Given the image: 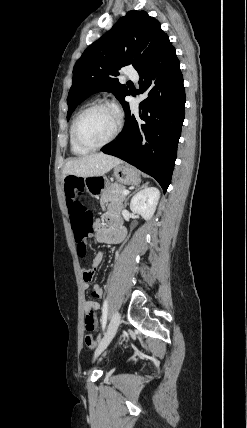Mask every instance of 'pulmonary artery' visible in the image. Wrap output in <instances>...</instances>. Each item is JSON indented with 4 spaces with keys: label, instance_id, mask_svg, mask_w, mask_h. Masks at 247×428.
Segmentation results:
<instances>
[{
    "label": "pulmonary artery",
    "instance_id": "pulmonary-artery-1",
    "mask_svg": "<svg viewBox=\"0 0 247 428\" xmlns=\"http://www.w3.org/2000/svg\"><path fill=\"white\" fill-rule=\"evenodd\" d=\"M125 74H126L129 78H131V79H134V80H137V79H138V74H137V72H136L133 68H131V67H127V68L125 69Z\"/></svg>",
    "mask_w": 247,
    "mask_h": 428
}]
</instances>
